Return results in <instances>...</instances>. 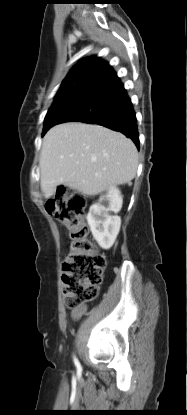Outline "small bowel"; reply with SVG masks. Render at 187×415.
<instances>
[{
    "label": "small bowel",
    "mask_w": 187,
    "mask_h": 415,
    "mask_svg": "<svg viewBox=\"0 0 187 415\" xmlns=\"http://www.w3.org/2000/svg\"><path fill=\"white\" fill-rule=\"evenodd\" d=\"M85 311V307H80L72 312V317L74 319L79 318Z\"/></svg>",
    "instance_id": "1"
}]
</instances>
